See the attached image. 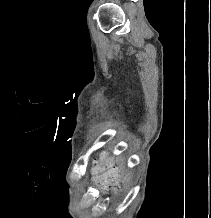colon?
Listing matches in <instances>:
<instances>
[{
    "mask_svg": "<svg viewBox=\"0 0 211 218\" xmlns=\"http://www.w3.org/2000/svg\"><path fill=\"white\" fill-rule=\"evenodd\" d=\"M93 179L105 188L116 189L119 185V171L107 155H102L94 161Z\"/></svg>",
    "mask_w": 211,
    "mask_h": 218,
    "instance_id": "colon-1",
    "label": "colon"
}]
</instances>
